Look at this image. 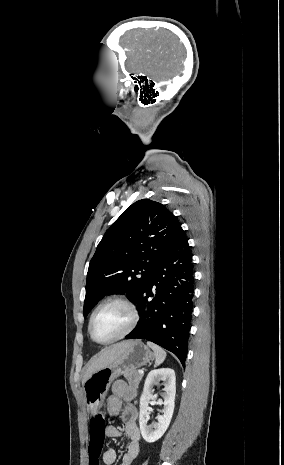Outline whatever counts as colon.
<instances>
[{
    "instance_id": "obj_1",
    "label": "colon",
    "mask_w": 284,
    "mask_h": 465,
    "mask_svg": "<svg viewBox=\"0 0 284 465\" xmlns=\"http://www.w3.org/2000/svg\"><path fill=\"white\" fill-rule=\"evenodd\" d=\"M92 421H88L87 428L89 430L90 446L86 447V454L88 455L89 465H99L101 461V448L105 447L104 438L107 434L108 428L103 421L104 416L102 413H93L91 416Z\"/></svg>"
}]
</instances>
